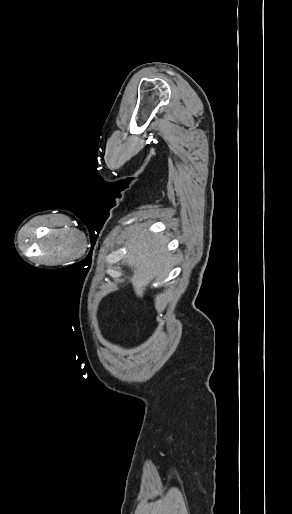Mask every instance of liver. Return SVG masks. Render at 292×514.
<instances>
[{"mask_svg": "<svg viewBox=\"0 0 292 514\" xmlns=\"http://www.w3.org/2000/svg\"><path fill=\"white\" fill-rule=\"evenodd\" d=\"M148 226L142 224L138 232L132 230L125 244L127 254L123 262L134 268L131 278L133 290L138 298H143L146 288L157 276H167L171 272L172 256L167 252L168 236L149 234Z\"/></svg>", "mask_w": 292, "mask_h": 514, "instance_id": "6515ba94", "label": "liver"}]
</instances>
